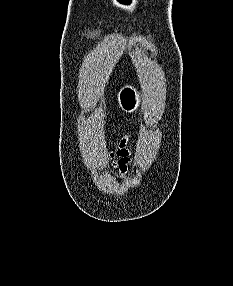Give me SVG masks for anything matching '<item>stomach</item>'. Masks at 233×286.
Returning <instances> with one entry per match:
<instances>
[{"label":"stomach","instance_id":"obj_1","mask_svg":"<svg viewBox=\"0 0 233 286\" xmlns=\"http://www.w3.org/2000/svg\"><path fill=\"white\" fill-rule=\"evenodd\" d=\"M140 94L132 86H124L117 94V102L119 108L126 112L132 113L136 111L140 105Z\"/></svg>","mask_w":233,"mask_h":286}]
</instances>
